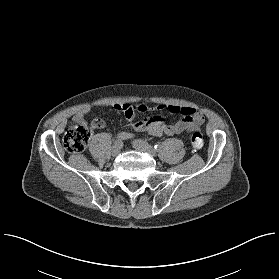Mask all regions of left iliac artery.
I'll use <instances>...</instances> for the list:
<instances>
[{
    "label": "left iliac artery",
    "mask_w": 279,
    "mask_h": 279,
    "mask_svg": "<svg viewBox=\"0 0 279 279\" xmlns=\"http://www.w3.org/2000/svg\"><path fill=\"white\" fill-rule=\"evenodd\" d=\"M154 148L156 151H160L163 148V145L158 143L154 145Z\"/></svg>",
    "instance_id": "1"
}]
</instances>
